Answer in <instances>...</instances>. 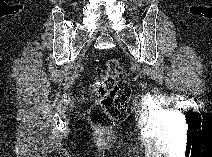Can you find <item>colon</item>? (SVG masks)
Masks as SVG:
<instances>
[{
  "mask_svg": "<svg viewBox=\"0 0 212 157\" xmlns=\"http://www.w3.org/2000/svg\"><path fill=\"white\" fill-rule=\"evenodd\" d=\"M123 68L117 59L106 60L89 83V91L99 98L89 112L91 124L100 129L111 128L127 110L131 86L121 78Z\"/></svg>",
  "mask_w": 212,
  "mask_h": 157,
  "instance_id": "colon-1",
  "label": "colon"
}]
</instances>
